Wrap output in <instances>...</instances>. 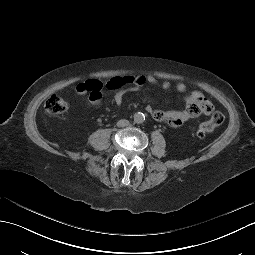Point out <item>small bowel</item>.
I'll return each instance as SVG.
<instances>
[{"mask_svg": "<svg viewBox=\"0 0 255 255\" xmlns=\"http://www.w3.org/2000/svg\"><path fill=\"white\" fill-rule=\"evenodd\" d=\"M146 83L151 85H158L162 89L167 90L171 88V83L167 80L159 81L154 76H118L113 77L106 83H102L95 79H89L77 84L75 91L79 95H88L89 101L98 105L101 103L102 90L104 88L116 90L114 102L120 106L123 102L126 92L137 91ZM128 86V90L124 89ZM176 90L179 93L186 91V85L182 82L176 84ZM214 110L212 102L207 99L200 91H191L185 98V108L182 111H162L146 106V111L158 122H163L171 127H180L189 119L197 118L200 115H210Z\"/></svg>", "mask_w": 255, "mask_h": 255, "instance_id": "small-bowel-1", "label": "small bowel"}]
</instances>
